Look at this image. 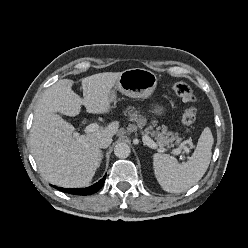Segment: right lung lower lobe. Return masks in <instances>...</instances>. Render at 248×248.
Instances as JSON below:
<instances>
[{
  "label": "right lung lower lobe",
  "instance_id": "1",
  "mask_svg": "<svg viewBox=\"0 0 248 248\" xmlns=\"http://www.w3.org/2000/svg\"><path fill=\"white\" fill-rule=\"evenodd\" d=\"M105 178H106V175L94 185L86 187V188L69 189V188H61V187H56V186L54 187L60 191L74 194V195H90L100 190V188L103 186L105 182Z\"/></svg>",
  "mask_w": 248,
  "mask_h": 248
}]
</instances>
